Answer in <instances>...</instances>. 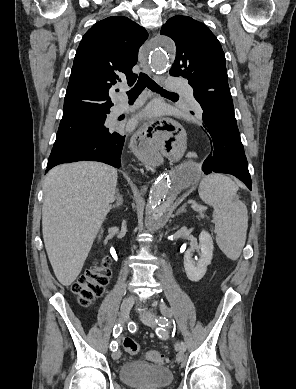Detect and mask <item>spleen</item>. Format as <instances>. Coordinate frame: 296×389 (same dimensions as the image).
I'll list each match as a JSON object with an SVG mask.
<instances>
[{"label":"spleen","instance_id":"spleen-1","mask_svg":"<svg viewBox=\"0 0 296 389\" xmlns=\"http://www.w3.org/2000/svg\"><path fill=\"white\" fill-rule=\"evenodd\" d=\"M238 186L222 174H211L202 179L200 198L214 208L216 242L231 260L241 255L248 228L246 205L237 198Z\"/></svg>","mask_w":296,"mask_h":389}]
</instances>
